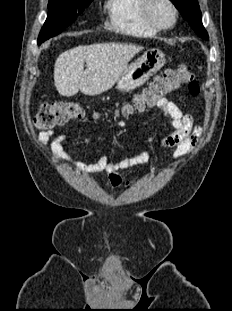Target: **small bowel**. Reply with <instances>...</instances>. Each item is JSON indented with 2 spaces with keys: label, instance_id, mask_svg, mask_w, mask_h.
I'll return each instance as SVG.
<instances>
[{
  "label": "small bowel",
  "instance_id": "c3829d8e",
  "mask_svg": "<svg viewBox=\"0 0 232 311\" xmlns=\"http://www.w3.org/2000/svg\"><path fill=\"white\" fill-rule=\"evenodd\" d=\"M156 107L164 114L168 126L172 129L160 140V145L163 148L173 149L174 158L180 157L197 141L200 129L194 125L192 116L184 114L177 104L170 99L160 100ZM119 125L124 126L125 123L120 121ZM66 138V134H55L53 130H49L40 134L39 141L47 153L81 173L95 176L105 172L113 187L135 184L137 180L125 181L120 176L119 171L142 165L148 160V151L143 150L135 156L120 157L113 162L109 161L107 154H102L96 162L85 163L73 159L66 151L63 146ZM158 170V168H154L152 171L156 173Z\"/></svg>",
  "mask_w": 232,
  "mask_h": 311
}]
</instances>
